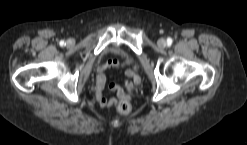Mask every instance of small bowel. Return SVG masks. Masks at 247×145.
<instances>
[{
    "label": "small bowel",
    "instance_id": "1",
    "mask_svg": "<svg viewBox=\"0 0 247 145\" xmlns=\"http://www.w3.org/2000/svg\"><path fill=\"white\" fill-rule=\"evenodd\" d=\"M132 60L126 58L123 63L117 59H111L106 63L99 65L97 68L96 83H95V95L101 108H108L116 104V99H107L104 96V90L106 86L105 70L108 68H119L123 65H131ZM126 80L124 86L112 84L111 90L116 92L119 99H129V93L133 90L134 84L139 81V77L135 74V68H129L125 71Z\"/></svg>",
    "mask_w": 247,
    "mask_h": 145
}]
</instances>
